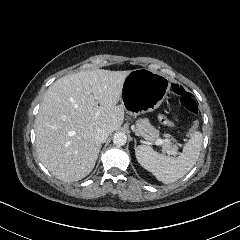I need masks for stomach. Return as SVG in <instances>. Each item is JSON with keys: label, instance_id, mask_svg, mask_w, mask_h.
<instances>
[{"label": "stomach", "instance_id": "stomach-1", "mask_svg": "<svg viewBox=\"0 0 240 240\" xmlns=\"http://www.w3.org/2000/svg\"><path fill=\"white\" fill-rule=\"evenodd\" d=\"M170 90L167 76L146 69H135L126 77L121 103L126 113L138 116L158 109Z\"/></svg>", "mask_w": 240, "mask_h": 240}]
</instances>
